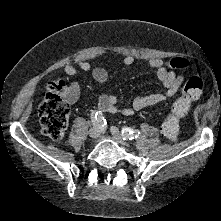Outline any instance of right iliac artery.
<instances>
[{
    "mask_svg": "<svg viewBox=\"0 0 221 221\" xmlns=\"http://www.w3.org/2000/svg\"><path fill=\"white\" fill-rule=\"evenodd\" d=\"M91 120L95 127L102 128L106 124V120L101 111H93L91 113Z\"/></svg>",
    "mask_w": 221,
    "mask_h": 221,
    "instance_id": "right-iliac-artery-1",
    "label": "right iliac artery"
}]
</instances>
